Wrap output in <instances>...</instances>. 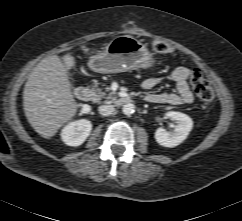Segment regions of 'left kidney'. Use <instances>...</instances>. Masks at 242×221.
<instances>
[{
	"mask_svg": "<svg viewBox=\"0 0 242 221\" xmlns=\"http://www.w3.org/2000/svg\"><path fill=\"white\" fill-rule=\"evenodd\" d=\"M166 116L177 121L173 132H168L163 128H158L155 132L156 142L163 147H175L181 144L189 135L193 127L192 119L181 112L170 111Z\"/></svg>",
	"mask_w": 242,
	"mask_h": 221,
	"instance_id": "obj_1",
	"label": "left kidney"
}]
</instances>
